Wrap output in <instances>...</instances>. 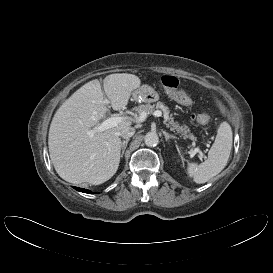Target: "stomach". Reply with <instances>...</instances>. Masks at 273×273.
I'll return each mask as SVG.
<instances>
[{"label":"stomach","mask_w":273,"mask_h":273,"mask_svg":"<svg viewBox=\"0 0 273 273\" xmlns=\"http://www.w3.org/2000/svg\"><path fill=\"white\" fill-rule=\"evenodd\" d=\"M133 98L138 102L151 103L156 101L157 94L151 87L143 85L133 93Z\"/></svg>","instance_id":"0dacf381"}]
</instances>
